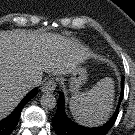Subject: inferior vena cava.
I'll return each mask as SVG.
<instances>
[{"mask_svg": "<svg viewBox=\"0 0 135 135\" xmlns=\"http://www.w3.org/2000/svg\"><path fill=\"white\" fill-rule=\"evenodd\" d=\"M37 84L38 83L36 80L30 79L27 81L26 87L31 89V88L35 87Z\"/></svg>", "mask_w": 135, "mask_h": 135, "instance_id": "obj_1", "label": "inferior vena cava"}]
</instances>
